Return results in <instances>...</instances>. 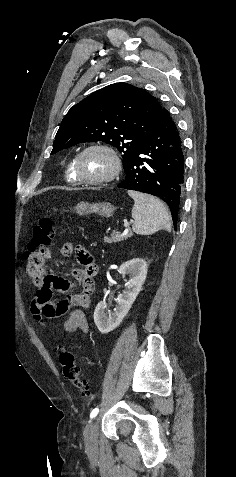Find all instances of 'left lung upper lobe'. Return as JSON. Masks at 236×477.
<instances>
[{
	"label": "left lung upper lobe",
	"instance_id": "left-lung-upper-lobe-1",
	"mask_svg": "<svg viewBox=\"0 0 236 477\" xmlns=\"http://www.w3.org/2000/svg\"><path fill=\"white\" fill-rule=\"evenodd\" d=\"M162 110L144 89L127 83L111 84L68 111L51 154L78 143L102 141L122 154L125 170L158 123Z\"/></svg>",
	"mask_w": 236,
	"mask_h": 477
}]
</instances>
